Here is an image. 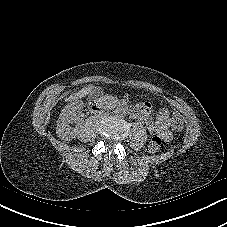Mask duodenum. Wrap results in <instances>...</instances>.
<instances>
[{"label":"duodenum","mask_w":227,"mask_h":227,"mask_svg":"<svg viewBox=\"0 0 227 227\" xmlns=\"http://www.w3.org/2000/svg\"><path fill=\"white\" fill-rule=\"evenodd\" d=\"M90 107L93 112H97L103 107V101L101 98H93L90 102ZM129 113L133 118L138 116V112L135 109L130 110Z\"/></svg>","instance_id":"1"}]
</instances>
